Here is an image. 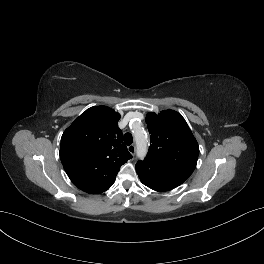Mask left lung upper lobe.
<instances>
[{
  "label": "left lung upper lobe",
  "instance_id": "left-lung-upper-lobe-1",
  "mask_svg": "<svg viewBox=\"0 0 264 264\" xmlns=\"http://www.w3.org/2000/svg\"><path fill=\"white\" fill-rule=\"evenodd\" d=\"M150 147L144 161L139 165L154 164L166 174L184 182L194 171L199 155V146L185 119L176 111L164 110L158 115L146 117Z\"/></svg>",
  "mask_w": 264,
  "mask_h": 264
}]
</instances>
